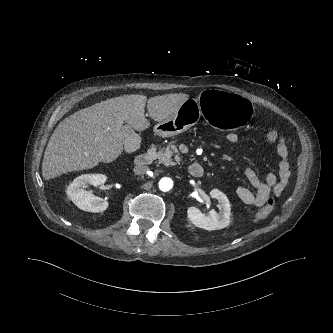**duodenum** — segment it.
Wrapping results in <instances>:
<instances>
[{"mask_svg": "<svg viewBox=\"0 0 333 333\" xmlns=\"http://www.w3.org/2000/svg\"><path fill=\"white\" fill-rule=\"evenodd\" d=\"M154 151L151 150L146 154H141L137 156L135 161V167L139 171H143L150 163H152L154 159ZM189 173L192 177L195 178H201L204 174V168L203 166L198 163L194 162L189 166Z\"/></svg>", "mask_w": 333, "mask_h": 333, "instance_id": "1", "label": "duodenum"}]
</instances>
